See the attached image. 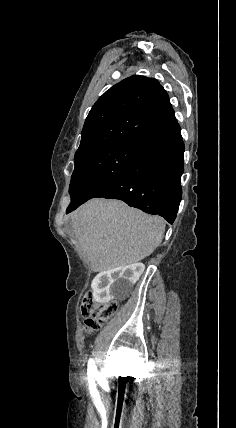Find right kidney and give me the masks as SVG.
Wrapping results in <instances>:
<instances>
[{"label":"right kidney","mask_w":236,"mask_h":428,"mask_svg":"<svg viewBox=\"0 0 236 428\" xmlns=\"http://www.w3.org/2000/svg\"><path fill=\"white\" fill-rule=\"evenodd\" d=\"M145 270L142 262L115 269H101L92 282L93 298L99 306H108L109 301L130 300L133 284Z\"/></svg>","instance_id":"obj_1"}]
</instances>
